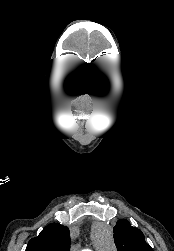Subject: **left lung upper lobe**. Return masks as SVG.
Masks as SVG:
<instances>
[{
    "label": "left lung upper lobe",
    "mask_w": 174,
    "mask_h": 251,
    "mask_svg": "<svg viewBox=\"0 0 174 251\" xmlns=\"http://www.w3.org/2000/svg\"><path fill=\"white\" fill-rule=\"evenodd\" d=\"M113 232L118 251H153L143 233L125 219L118 220Z\"/></svg>",
    "instance_id": "obj_1"
}]
</instances>
